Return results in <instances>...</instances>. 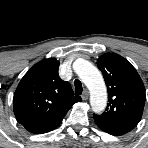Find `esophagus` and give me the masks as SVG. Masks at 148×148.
Masks as SVG:
<instances>
[{
    "label": "esophagus",
    "instance_id": "34e87169",
    "mask_svg": "<svg viewBox=\"0 0 148 148\" xmlns=\"http://www.w3.org/2000/svg\"><path fill=\"white\" fill-rule=\"evenodd\" d=\"M81 97L83 98V100H87L88 99L89 93H88V90L87 89H84Z\"/></svg>",
    "mask_w": 148,
    "mask_h": 148
}]
</instances>
